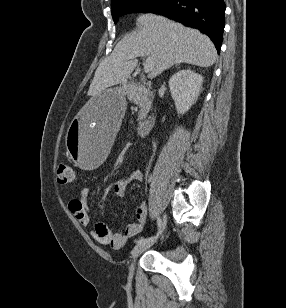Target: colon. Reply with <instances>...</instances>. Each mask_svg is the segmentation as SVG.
Here are the masks:
<instances>
[{
    "label": "colon",
    "mask_w": 286,
    "mask_h": 308,
    "mask_svg": "<svg viewBox=\"0 0 286 308\" xmlns=\"http://www.w3.org/2000/svg\"><path fill=\"white\" fill-rule=\"evenodd\" d=\"M56 178L59 184L72 185L76 182V172L72 166L61 164L57 168Z\"/></svg>",
    "instance_id": "1"
}]
</instances>
